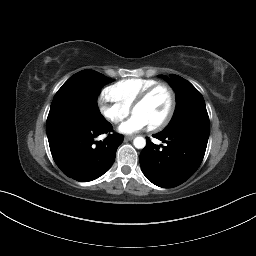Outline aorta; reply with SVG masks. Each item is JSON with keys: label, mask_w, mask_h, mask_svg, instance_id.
Returning a JSON list of instances; mask_svg holds the SVG:
<instances>
[{"label": "aorta", "mask_w": 256, "mask_h": 256, "mask_svg": "<svg viewBox=\"0 0 256 256\" xmlns=\"http://www.w3.org/2000/svg\"><path fill=\"white\" fill-rule=\"evenodd\" d=\"M133 145L137 149H143L145 147V145H146V140L143 137H136L133 140Z\"/></svg>", "instance_id": "762f6f07"}]
</instances>
